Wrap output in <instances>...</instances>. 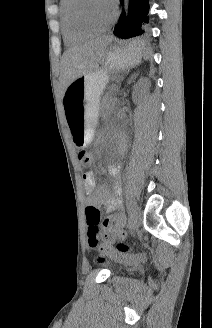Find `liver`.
I'll list each match as a JSON object with an SVG mask.
<instances>
[{"instance_id":"obj_1","label":"liver","mask_w":212,"mask_h":328,"mask_svg":"<svg viewBox=\"0 0 212 328\" xmlns=\"http://www.w3.org/2000/svg\"><path fill=\"white\" fill-rule=\"evenodd\" d=\"M110 41L108 37L99 38L65 51L62 59L64 90L79 76L92 74L99 70V64L103 60L104 51Z\"/></svg>"}]
</instances>
